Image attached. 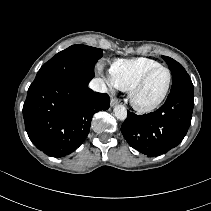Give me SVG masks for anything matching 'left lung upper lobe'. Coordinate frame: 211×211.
<instances>
[{
    "label": "left lung upper lobe",
    "mask_w": 211,
    "mask_h": 211,
    "mask_svg": "<svg viewBox=\"0 0 211 211\" xmlns=\"http://www.w3.org/2000/svg\"><path fill=\"white\" fill-rule=\"evenodd\" d=\"M162 58L165 60L172 73L173 85L171 92H194L192 81L183 66L170 57L162 56Z\"/></svg>",
    "instance_id": "1"
}]
</instances>
